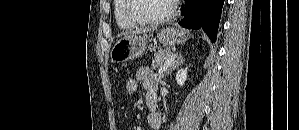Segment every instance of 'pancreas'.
I'll list each match as a JSON object with an SVG mask.
<instances>
[{"mask_svg": "<svg viewBox=\"0 0 299 130\" xmlns=\"http://www.w3.org/2000/svg\"><path fill=\"white\" fill-rule=\"evenodd\" d=\"M172 55L170 49L160 50L154 53V59L152 60V68L156 69L158 67L164 66L169 57Z\"/></svg>", "mask_w": 299, "mask_h": 130, "instance_id": "pancreas-1", "label": "pancreas"}]
</instances>
